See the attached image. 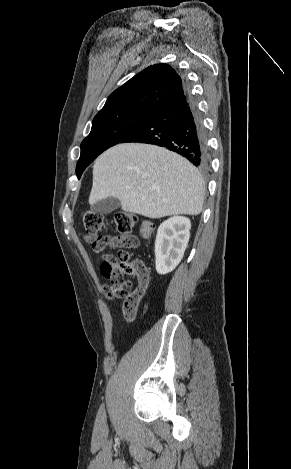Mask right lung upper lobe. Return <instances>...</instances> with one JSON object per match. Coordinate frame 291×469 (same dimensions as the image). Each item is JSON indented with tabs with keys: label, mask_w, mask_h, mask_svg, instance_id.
<instances>
[{
	"label": "right lung upper lobe",
	"mask_w": 291,
	"mask_h": 469,
	"mask_svg": "<svg viewBox=\"0 0 291 469\" xmlns=\"http://www.w3.org/2000/svg\"><path fill=\"white\" fill-rule=\"evenodd\" d=\"M184 90L183 78L171 66L152 65L115 90L95 117L126 110L154 112Z\"/></svg>",
	"instance_id": "obj_1"
}]
</instances>
